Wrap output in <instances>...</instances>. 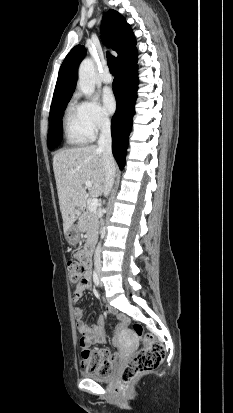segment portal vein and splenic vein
<instances>
[{"label":"portal vein and splenic vein","mask_w":233,"mask_h":413,"mask_svg":"<svg viewBox=\"0 0 233 413\" xmlns=\"http://www.w3.org/2000/svg\"><path fill=\"white\" fill-rule=\"evenodd\" d=\"M85 187L91 188L92 187L91 181H85ZM98 203L99 202L97 198H92L90 201V204L88 205V211L95 212L98 207Z\"/></svg>","instance_id":"18ae733b"}]
</instances>
